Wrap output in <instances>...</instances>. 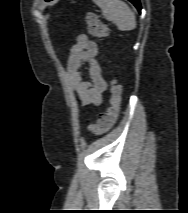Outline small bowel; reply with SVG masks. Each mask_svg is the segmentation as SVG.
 Masks as SVG:
<instances>
[{
    "mask_svg": "<svg viewBox=\"0 0 188 213\" xmlns=\"http://www.w3.org/2000/svg\"><path fill=\"white\" fill-rule=\"evenodd\" d=\"M97 55V44L85 34L78 35L67 61V75L70 86L83 106L100 105L107 89L102 69L96 60ZM84 67L87 79L82 76Z\"/></svg>",
    "mask_w": 188,
    "mask_h": 213,
    "instance_id": "obj_1",
    "label": "small bowel"
}]
</instances>
